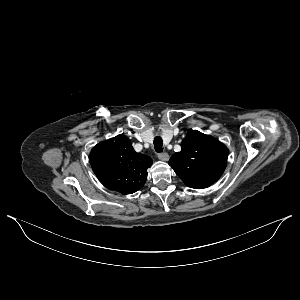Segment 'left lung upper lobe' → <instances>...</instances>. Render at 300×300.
<instances>
[{
  "instance_id": "1",
  "label": "left lung upper lobe",
  "mask_w": 300,
  "mask_h": 300,
  "mask_svg": "<svg viewBox=\"0 0 300 300\" xmlns=\"http://www.w3.org/2000/svg\"><path fill=\"white\" fill-rule=\"evenodd\" d=\"M228 149L216 138L189 130L181 151L172 155L169 165L189 187L203 189L214 184L227 165Z\"/></svg>"
}]
</instances>
